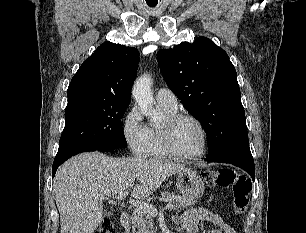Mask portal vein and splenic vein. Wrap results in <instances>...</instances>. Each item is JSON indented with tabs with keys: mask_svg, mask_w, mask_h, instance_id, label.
Segmentation results:
<instances>
[{
	"mask_svg": "<svg viewBox=\"0 0 306 233\" xmlns=\"http://www.w3.org/2000/svg\"><path fill=\"white\" fill-rule=\"evenodd\" d=\"M127 195H128V191L119 192L117 194V199L119 201H122L126 198ZM129 203L135 206L137 209L143 210V212L149 213L151 215L157 214V209L153 205L149 204L148 202H143L137 199L136 200L132 199V200H129ZM166 208L171 210L175 208V205L174 203H168L166 205Z\"/></svg>",
	"mask_w": 306,
	"mask_h": 233,
	"instance_id": "1",
	"label": "portal vein and splenic vein"
}]
</instances>
